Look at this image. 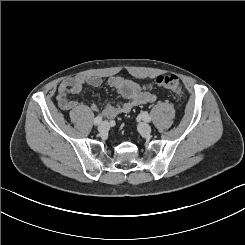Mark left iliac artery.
<instances>
[{"label": "left iliac artery", "mask_w": 245, "mask_h": 245, "mask_svg": "<svg viewBox=\"0 0 245 245\" xmlns=\"http://www.w3.org/2000/svg\"><path fill=\"white\" fill-rule=\"evenodd\" d=\"M141 117L143 118L144 121L146 122H150L151 121V117L149 116V114L147 112H142L141 113Z\"/></svg>", "instance_id": "1"}]
</instances>
